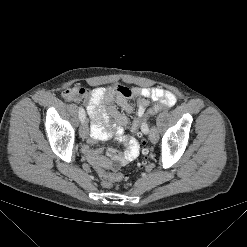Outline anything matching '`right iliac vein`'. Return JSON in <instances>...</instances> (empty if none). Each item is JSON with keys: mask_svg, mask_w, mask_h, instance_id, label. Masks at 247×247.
<instances>
[{"mask_svg": "<svg viewBox=\"0 0 247 247\" xmlns=\"http://www.w3.org/2000/svg\"><path fill=\"white\" fill-rule=\"evenodd\" d=\"M79 134L80 136L85 139L87 138L88 134H89V127H88V123L86 120H84L81 123L80 129H79Z\"/></svg>", "mask_w": 247, "mask_h": 247, "instance_id": "1", "label": "right iliac vein"}]
</instances>
